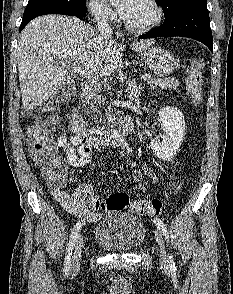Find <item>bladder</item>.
<instances>
[{"label":"bladder","mask_w":233,"mask_h":294,"mask_svg":"<svg viewBox=\"0 0 233 294\" xmlns=\"http://www.w3.org/2000/svg\"><path fill=\"white\" fill-rule=\"evenodd\" d=\"M146 230L135 215L113 210L104 215L94 230L95 243L113 252H131L145 240Z\"/></svg>","instance_id":"bladder-1"}]
</instances>
